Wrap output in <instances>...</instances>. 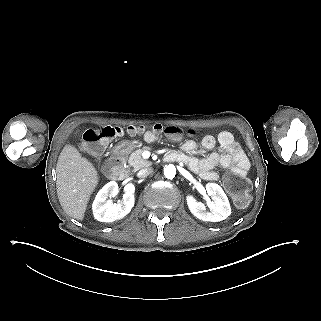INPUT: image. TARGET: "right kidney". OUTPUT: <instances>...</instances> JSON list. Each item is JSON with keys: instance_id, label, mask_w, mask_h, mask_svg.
<instances>
[{"instance_id": "ca27d5eb", "label": "right kidney", "mask_w": 321, "mask_h": 321, "mask_svg": "<svg viewBox=\"0 0 321 321\" xmlns=\"http://www.w3.org/2000/svg\"><path fill=\"white\" fill-rule=\"evenodd\" d=\"M119 194L118 184L111 181L96 195L93 202V213L98 221L113 222L128 215L135 205V185L127 183L124 187L123 202L114 204L107 198H115Z\"/></svg>"}]
</instances>
